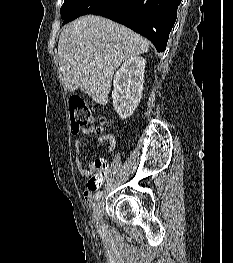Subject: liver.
Wrapping results in <instances>:
<instances>
[{
  "mask_svg": "<svg viewBox=\"0 0 233 263\" xmlns=\"http://www.w3.org/2000/svg\"><path fill=\"white\" fill-rule=\"evenodd\" d=\"M149 45L148 40L114 21L82 16L65 26L59 37L63 83L70 92L80 88L96 103L106 105L115 70L127 59L146 53Z\"/></svg>",
  "mask_w": 233,
  "mask_h": 263,
  "instance_id": "liver-1",
  "label": "liver"
}]
</instances>
